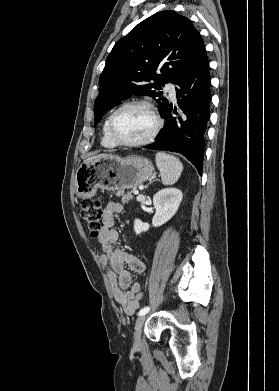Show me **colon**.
<instances>
[{
	"label": "colon",
	"instance_id": "colon-1",
	"mask_svg": "<svg viewBox=\"0 0 279 391\" xmlns=\"http://www.w3.org/2000/svg\"><path fill=\"white\" fill-rule=\"evenodd\" d=\"M81 217L86 225L90 235L94 238L98 237L102 228L103 206L98 200H85L81 205ZM144 295L142 292L137 294L139 304L143 301Z\"/></svg>",
	"mask_w": 279,
	"mask_h": 391
}]
</instances>
